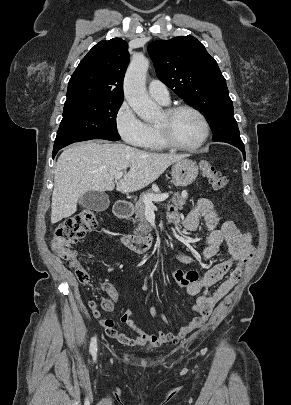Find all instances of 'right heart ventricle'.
<instances>
[{
  "label": "right heart ventricle",
  "instance_id": "e07e8e85",
  "mask_svg": "<svg viewBox=\"0 0 291 405\" xmlns=\"http://www.w3.org/2000/svg\"><path fill=\"white\" fill-rule=\"evenodd\" d=\"M144 147L153 151H161L167 148L160 137L157 125L149 126V137Z\"/></svg>",
  "mask_w": 291,
  "mask_h": 405
}]
</instances>
